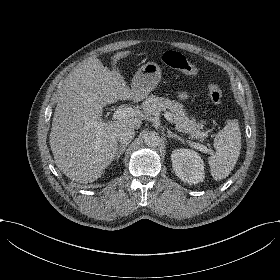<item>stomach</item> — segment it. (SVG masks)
<instances>
[{
    "instance_id": "stomach-1",
    "label": "stomach",
    "mask_w": 280,
    "mask_h": 280,
    "mask_svg": "<svg viewBox=\"0 0 280 280\" xmlns=\"http://www.w3.org/2000/svg\"><path fill=\"white\" fill-rule=\"evenodd\" d=\"M161 80V68L154 62L141 66L131 83L132 90H140L146 96L156 88Z\"/></svg>"
}]
</instances>
